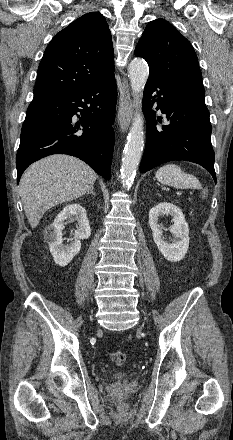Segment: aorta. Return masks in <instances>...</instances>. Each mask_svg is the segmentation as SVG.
I'll return each instance as SVG.
<instances>
[{"mask_svg": "<svg viewBox=\"0 0 233 440\" xmlns=\"http://www.w3.org/2000/svg\"><path fill=\"white\" fill-rule=\"evenodd\" d=\"M129 79L136 107L141 108L139 97L142 95L149 76V68L145 60L136 58L128 67ZM144 122L140 113H136L130 128L122 158L121 175L123 184L130 186L136 176L144 146Z\"/></svg>", "mask_w": 233, "mask_h": 440, "instance_id": "1", "label": "aorta"}]
</instances>
